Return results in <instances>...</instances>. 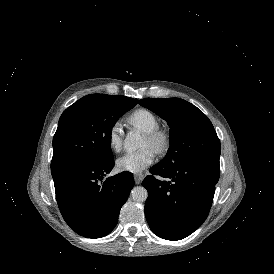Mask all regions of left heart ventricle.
Returning <instances> with one entry per match:
<instances>
[{
  "instance_id": "left-heart-ventricle-1",
  "label": "left heart ventricle",
  "mask_w": 274,
  "mask_h": 274,
  "mask_svg": "<svg viewBox=\"0 0 274 274\" xmlns=\"http://www.w3.org/2000/svg\"><path fill=\"white\" fill-rule=\"evenodd\" d=\"M141 147H150L151 148V145L146 137H144Z\"/></svg>"
}]
</instances>
